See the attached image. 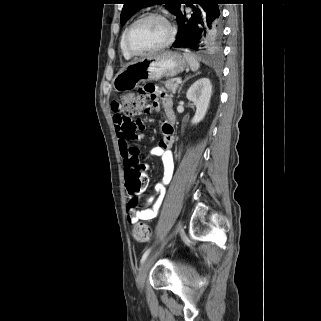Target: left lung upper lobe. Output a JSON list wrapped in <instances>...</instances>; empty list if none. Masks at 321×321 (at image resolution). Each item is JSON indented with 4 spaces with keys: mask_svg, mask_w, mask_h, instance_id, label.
<instances>
[{
    "mask_svg": "<svg viewBox=\"0 0 321 321\" xmlns=\"http://www.w3.org/2000/svg\"><path fill=\"white\" fill-rule=\"evenodd\" d=\"M183 1L184 0H124V6L120 16L121 24L124 25L125 22L141 8L154 4H166V8L173 15H176Z\"/></svg>",
    "mask_w": 321,
    "mask_h": 321,
    "instance_id": "left-lung-upper-lobe-1",
    "label": "left lung upper lobe"
}]
</instances>
